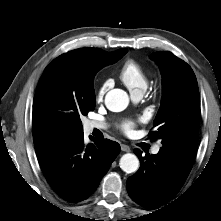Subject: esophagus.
I'll return each instance as SVG.
<instances>
[{"label": "esophagus", "instance_id": "34e87169", "mask_svg": "<svg viewBox=\"0 0 221 221\" xmlns=\"http://www.w3.org/2000/svg\"><path fill=\"white\" fill-rule=\"evenodd\" d=\"M121 150L124 152H130V147L125 144H121Z\"/></svg>", "mask_w": 221, "mask_h": 221}]
</instances>
